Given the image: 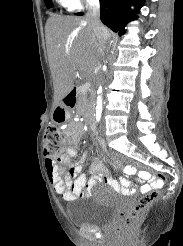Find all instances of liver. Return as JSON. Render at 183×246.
I'll return each instance as SVG.
<instances>
[{
  "instance_id": "1",
  "label": "liver",
  "mask_w": 183,
  "mask_h": 246,
  "mask_svg": "<svg viewBox=\"0 0 183 246\" xmlns=\"http://www.w3.org/2000/svg\"><path fill=\"white\" fill-rule=\"evenodd\" d=\"M45 33L54 96L59 102L73 89L78 71L91 73L99 66L106 43L94 34L87 19L73 16H51Z\"/></svg>"
}]
</instances>
